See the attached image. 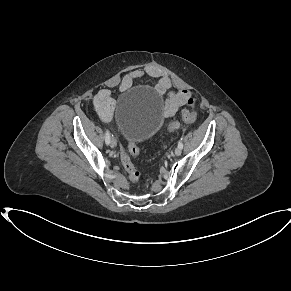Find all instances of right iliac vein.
Masks as SVG:
<instances>
[{
    "mask_svg": "<svg viewBox=\"0 0 291 291\" xmlns=\"http://www.w3.org/2000/svg\"><path fill=\"white\" fill-rule=\"evenodd\" d=\"M110 146L112 147V148H114L115 146H116V142H115V140H113V139H111L110 140Z\"/></svg>",
    "mask_w": 291,
    "mask_h": 291,
    "instance_id": "obj_1",
    "label": "right iliac vein"
}]
</instances>
